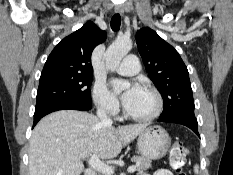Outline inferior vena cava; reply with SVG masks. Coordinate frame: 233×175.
I'll return each mask as SVG.
<instances>
[{
    "instance_id": "inferior-vena-cava-1",
    "label": "inferior vena cava",
    "mask_w": 233,
    "mask_h": 175,
    "mask_svg": "<svg viewBox=\"0 0 233 175\" xmlns=\"http://www.w3.org/2000/svg\"><path fill=\"white\" fill-rule=\"evenodd\" d=\"M97 116L101 120V122H103L105 124H112V120L107 115L106 110L103 107H101L97 110Z\"/></svg>"
}]
</instances>
